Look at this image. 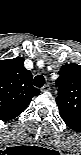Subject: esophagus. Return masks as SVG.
I'll list each match as a JSON object with an SVG mask.
<instances>
[{"instance_id":"esophagus-1","label":"esophagus","mask_w":81,"mask_h":155,"mask_svg":"<svg viewBox=\"0 0 81 155\" xmlns=\"http://www.w3.org/2000/svg\"><path fill=\"white\" fill-rule=\"evenodd\" d=\"M51 90V87L49 84H45L42 88H41V91L42 92H46V91H50Z\"/></svg>"}]
</instances>
